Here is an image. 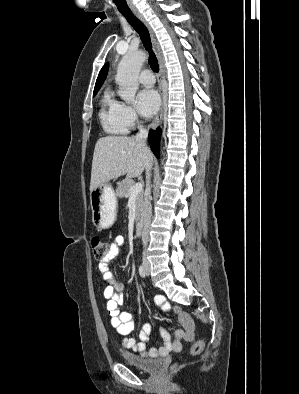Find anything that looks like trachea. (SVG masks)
Returning a JSON list of instances; mask_svg holds the SVG:
<instances>
[{
  "label": "trachea",
  "mask_w": 299,
  "mask_h": 394,
  "mask_svg": "<svg viewBox=\"0 0 299 394\" xmlns=\"http://www.w3.org/2000/svg\"><path fill=\"white\" fill-rule=\"evenodd\" d=\"M120 13L126 18L128 23L136 30V32L140 35V38L143 42L145 49L149 53V65L153 69V71H159L158 61L156 56L152 50V43L149 35V31L147 27L131 12V11H121Z\"/></svg>",
  "instance_id": "obj_1"
}]
</instances>
